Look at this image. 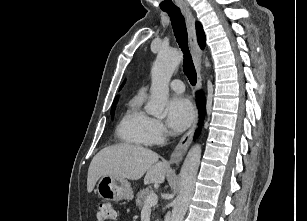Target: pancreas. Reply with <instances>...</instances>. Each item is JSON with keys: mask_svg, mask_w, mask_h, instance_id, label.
Segmentation results:
<instances>
[{"mask_svg": "<svg viewBox=\"0 0 307 221\" xmlns=\"http://www.w3.org/2000/svg\"><path fill=\"white\" fill-rule=\"evenodd\" d=\"M151 193H153V190L151 188H146L141 190L136 197V205L138 206V208H142L144 206V202L147 198L148 195H150Z\"/></svg>", "mask_w": 307, "mask_h": 221, "instance_id": "1", "label": "pancreas"}]
</instances>
